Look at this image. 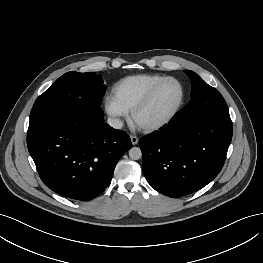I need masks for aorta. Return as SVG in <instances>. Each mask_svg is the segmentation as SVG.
Returning <instances> with one entry per match:
<instances>
[{
  "instance_id": "762f6f07",
  "label": "aorta",
  "mask_w": 263,
  "mask_h": 263,
  "mask_svg": "<svg viewBox=\"0 0 263 263\" xmlns=\"http://www.w3.org/2000/svg\"><path fill=\"white\" fill-rule=\"evenodd\" d=\"M142 156V152L140 150V148L138 147H132L130 150H129V157L132 159V160H138L140 159Z\"/></svg>"
}]
</instances>
